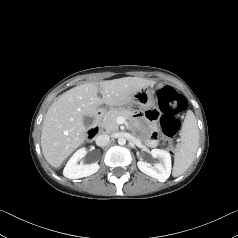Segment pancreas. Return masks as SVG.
Returning <instances> with one entry per match:
<instances>
[{"instance_id":"obj_1","label":"pancreas","mask_w":238,"mask_h":238,"mask_svg":"<svg viewBox=\"0 0 238 238\" xmlns=\"http://www.w3.org/2000/svg\"><path fill=\"white\" fill-rule=\"evenodd\" d=\"M132 115V112L127 109H112L105 114L101 122V126L106 130L107 133L116 132L119 128L117 119L119 117L131 119Z\"/></svg>"}]
</instances>
